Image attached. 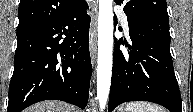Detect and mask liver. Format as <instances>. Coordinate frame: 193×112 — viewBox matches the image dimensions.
Masks as SVG:
<instances>
[{
  "label": "liver",
  "mask_w": 193,
  "mask_h": 112,
  "mask_svg": "<svg viewBox=\"0 0 193 112\" xmlns=\"http://www.w3.org/2000/svg\"><path fill=\"white\" fill-rule=\"evenodd\" d=\"M69 105L62 102L47 101L29 107L25 112H70Z\"/></svg>",
  "instance_id": "1"
}]
</instances>
